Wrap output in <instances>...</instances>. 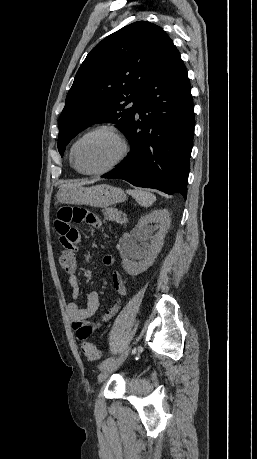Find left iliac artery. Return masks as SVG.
Here are the masks:
<instances>
[{"label": "left iliac artery", "instance_id": "44dca946", "mask_svg": "<svg viewBox=\"0 0 257 459\" xmlns=\"http://www.w3.org/2000/svg\"><path fill=\"white\" fill-rule=\"evenodd\" d=\"M114 361V357H109L105 359L100 365L99 368L102 370L103 368L107 367Z\"/></svg>", "mask_w": 257, "mask_h": 459}]
</instances>
